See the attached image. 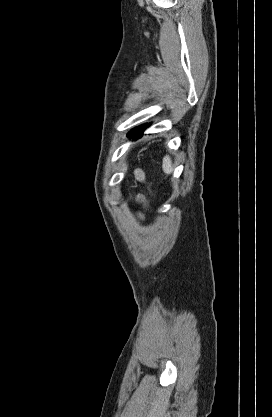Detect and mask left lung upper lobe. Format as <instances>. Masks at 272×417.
I'll list each match as a JSON object with an SVG mask.
<instances>
[{
    "instance_id": "1",
    "label": "left lung upper lobe",
    "mask_w": 272,
    "mask_h": 417,
    "mask_svg": "<svg viewBox=\"0 0 272 417\" xmlns=\"http://www.w3.org/2000/svg\"><path fill=\"white\" fill-rule=\"evenodd\" d=\"M141 126H142V125H141ZM141 126L134 128V129H133V130H131L130 132H133V131L137 130V129H138V128H140Z\"/></svg>"
}]
</instances>
